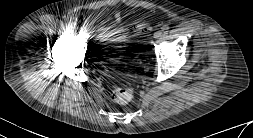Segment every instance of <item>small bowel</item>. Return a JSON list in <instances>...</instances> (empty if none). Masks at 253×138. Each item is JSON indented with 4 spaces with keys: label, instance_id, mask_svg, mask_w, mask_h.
<instances>
[{
    "label": "small bowel",
    "instance_id": "obj_1",
    "mask_svg": "<svg viewBox=\"0 0 253 138\" xmlns=\"http://www.w3.org/2000/svg\"><path fill=\"white\" fill-rule=\"evenodd\" d=\"M114 25L117 26V27H121L122 26V18H121V15L119 13H117L115 15Z\"/></svg>",
    "mask_w": 253,
    "mask_h": 138
}]
</instances>
